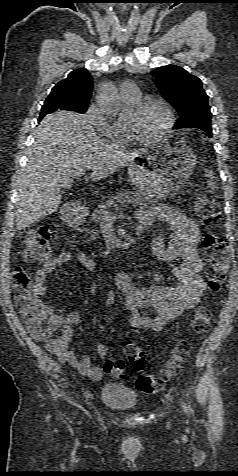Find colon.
Listing matches in <instances>:
<instances>
[{
	"label": "colon",
	"mask_w": 238,
	"mask_h": 476,
	"mask_svg": "<svg viewBox=\"0 0 238 476\" xmlns=\"http://www.w3.org/2000/svg\"><path fill=\"white\" fill-rule=\"evenodd\" d=\"M195 215L205 227H211L220 218L217 205L206 196H199L196 199ZM51 233L50 228L43 226L28 235L23 252L26 261L45 262L52 257L49 245ZM202 246L209 263L208 287L211 291L218 292L223 289L226 283L229 261L228 245L220 235L207 231L203 237ZM11 283L15 303L31 335L38 340H43L52 351L67 343L71 336L69 329L52 330L45 326L48 318L47 309L39 299L35 283L28 272L22 267H16L11 274ZM210 319L211 312L208 308L198 309L191 320L192 330L197 334L206 332L210 326ZM189 348V342L181 340L176 345L165 371L159 375H140L135 381L136 388L146 394L159 392L168 379L180 373L188 358ZM124 353L136 371L144 369L146 358L139 345L133 342L126 343ZM104 372L108 377L122 378L126 375V365L122 360H108L104 365Z\"/></svg>",
	"instance_id": "1"
}]
</instances>
